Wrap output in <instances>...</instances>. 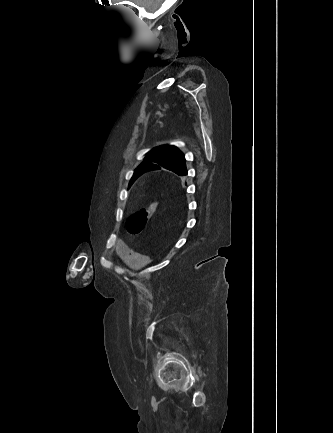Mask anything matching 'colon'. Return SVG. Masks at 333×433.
Listing matches in <instances>:
<instances>
[{
  "mask_svg": "<svg viewBox=\"0 0 333 433\" xmlns=\"http://www.w3.org/2000/svg\"><path fill=\"white\" fill-rule=\"evenodd\" d=\"M158 204V201H153L148 207L142 208L131 214L126 221L128 232L132 235L141 233L152 215L155 213Z\"/></svg>",
  "mask_w": 333,
  "mask_h": 433,
  "instance_id": "colon-1",
  "label": "colon"
}]
</instances>
